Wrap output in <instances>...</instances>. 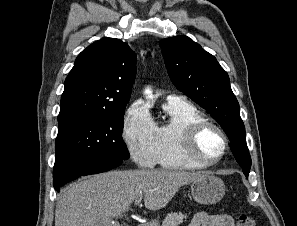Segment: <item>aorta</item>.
<instances>
[{"label": "aorta", "instance_id": "1", "mask_svg": "<svg viewBox=\"0 0 297 226\" xmlns=\"http://www.w3.org/2000/svg\"><path fill=\"white\" fill-rule=\"evenodd\" d=\"M145 93L149 94V93H151V90L150 89H146L145 90Z\"/></svg>", "mask_w": 297, "mask_h": 226}]
</instances>
